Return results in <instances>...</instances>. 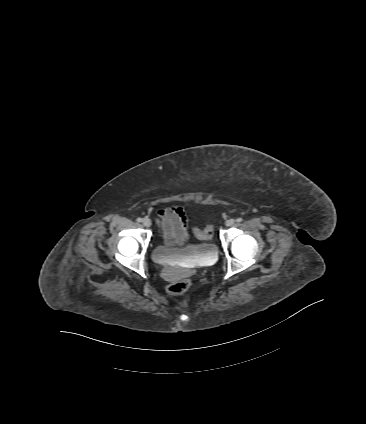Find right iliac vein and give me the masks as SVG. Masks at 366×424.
Wrapping results in <instances>:
<instances>
[{
    "label": "right iliac vein",
    "mask_w": 366,
    "mask_h": 424,
    "mask_svg": "<svg viewBox=\"0 0 366 424\" xmlns=\"http://www.w3.org/2000/svg\"><path fill=\"white\" fill-rule=\"evenodd\" d=\"M142 223H143V225H144V226H146V227H150V226H151V220H150V219H148V218H144V219L142 220Z\"/></svg>",
    "instance_id": "right-iliac-vein-1"
}]
</instances>
